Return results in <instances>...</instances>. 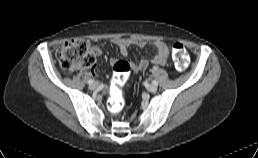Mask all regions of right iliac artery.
<instances>
[{
    "label": "right iliac artery",
    "mask_w": 258,
    "mask_h": 158,
    "mask_svg": "<svg viewBox=\"0 0 258 158\" xmlns=\"http://www.w3.org/2000/svg\"><path fill=\"white\" fill-rule=\"evenodd\" d=\"M94 82V80L90 79L88 80V84H92Z\"/></svg>",
    "instance_id": "right-iliac-artery-1"
}]
</instances>
